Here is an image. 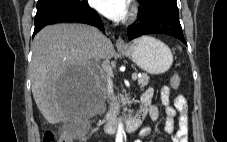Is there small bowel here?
<instances>
[{
    "label": "small bowel",
    "instance_id": "1",
    "mask_svg": "<svg viewBox=\"0 0 227 142\" xmlns=\"http://www.w3.org/2000/svg\"><path fill=\"white\" fill-rule=\"evenodd\" d=\"M154 95V90L148 88L145 90L141 96V104L148 109L151 118L154 121L160 120V113L156 105L152 104V98ZM161 101L165 106V118H164V130L167 134L172 135L171 142H189L188 141V114H187V104L182 96H177L174 102V107L170 106V89L168 87H163L161 90ZM176 112H178V128L175 131L174 121L176 117ZM139 140L134 142H151V129L144 128L140 132Z\"/></svg>",
    "mask_w": 227,
    "mask_h": 142
}]
</instances>
